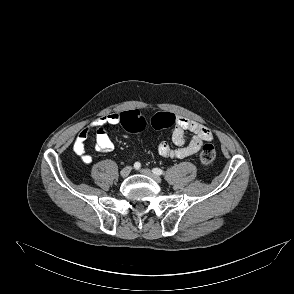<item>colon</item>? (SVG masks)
<instances>
[{
  "mask_svg": "<svg viewBox=\"0 0 294 294\" xmlns=\"http://www.w3.org/2000/svg\"><path fill=\"white\" fill-rule=\"evenodd\" d=\"M121 125L131 133L141 132L147 125L144 116L138 110L123 112L120 114ZM175 123L172 113L158 112L151 118V125L155 129H163ZM216 157V150L212 144H205L200 150L199 161L202 165H210Z\"/></svg>",
  "mask_w": 294,
  "mask_h": 294,
  "instance_id": "colon-1",
  "label": "colon"
}]
</instances>
